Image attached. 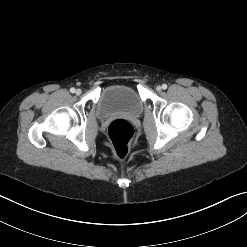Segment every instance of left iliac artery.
Here are the masks:
<instances>
[{
    "label": "left iliac artery",
    "mask_w": 247,
    "mask_h": 247,
    "mask_svg": "<svg viewBox=\"0 0 247 247\" xmlns=\"http://www.w3.org/2000/svg\"><path fill=\"white\" fill-rule=\"evenodd\" d=\"M162 88H163V89H167V85H166V84H163V85H162Z\"/></svg>",
    "instance_id": "44dca946"
}]
</instances>
